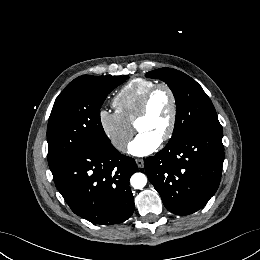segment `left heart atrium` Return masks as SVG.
<instances>
[{
	"mask_svg": "<svg viewBox=\"0 0 260 260\" xmlns=\"http://www.w3.org/2000/svg\"><path fill=\"white\" fill-rule=\"evenodd\" d=\"M160 142L157 137L141 132L128 144L127 150L134 156H146L153 153Z\"/></svg>",
	"mask_w": 260,
	"mask_h": 260,
	"instance_id": "39dd6f15",
	"label": "left heart atrium"
}]
</instances>
